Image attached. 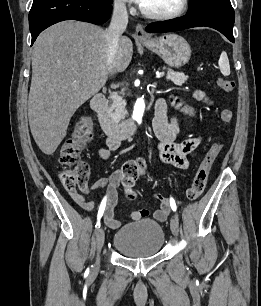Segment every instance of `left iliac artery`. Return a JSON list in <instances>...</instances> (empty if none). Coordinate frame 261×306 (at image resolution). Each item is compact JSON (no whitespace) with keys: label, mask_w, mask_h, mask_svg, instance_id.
<instances>
[{"label":"left iliac artery","mask_w":261,"mask_h":306,"mask_svg":"<svg viewBox=\"0 0 261 306\" xmlns=\"http://www.w3.org/2000/svg\"><path fill=\"white\" fill-rule=\"evenodd\" d=\"M170 206H171L173 211H176L177 206H176V203H175V201L172 197L170 198Z\"/></svg>","instance_id":"44dca946"}]
</instances>
